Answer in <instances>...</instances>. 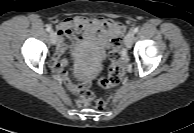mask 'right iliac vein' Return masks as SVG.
<instances>
[{"label": "right iliac vein", "instance_id": "right-iliac-vein-1", "mask_svg": "<svg viewBox=\"0 0 194 133\" xmlns=\"http://www.w3.org/2000/svg\"><path fill=\"white\" fill-rule=\"evenodd\" d=\"M50 40L53 45L57 42V34L54 31H51L50 33Z\"/></svg>", "mask_w": 194, "mask_h": 133}]
</instances>
